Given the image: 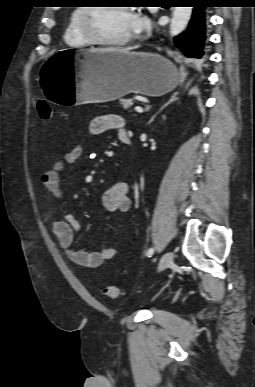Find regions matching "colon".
Listing matches in <instances>:
<instances>
[{
    "label": "colon",
    "mask_w": 255,
    "mask_h": 387,
    "mask_svg": "<svg viewBox=\"0 0 255 387\" xmlns=\"http://www.w3.org/2000/svg\"><path fill=\"white\" fill-rule=\"evenodd\" d=\"M37 110H38L39 116L44 120H48L52 116V109L50 105L44 100H39L37 102ZM103 292L107 297L113 298V299L119 297L120 295V290L115 285L105 286Z\"/></svg>",
    "instance_id": "colon-1"
}]
</instances>
